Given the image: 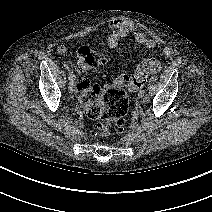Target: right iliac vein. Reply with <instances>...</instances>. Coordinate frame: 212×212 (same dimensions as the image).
Instances as JSON below:
<instances>
[{
  "mask_svg": "<svg viewBox=\"0 0 212 212\" xmlns=\"http://www.w3.org/2000/svg\"><path fill=\"white\" fill-rule=\"evenodd\" d=\"M68 91H69V93H71V94L75 92L74 81H70V82H69Z\"/></svg>",
  "mask_w": 212,
  "mask_h": 212,
  "instance_id": "63e3f726",
  "label": "right iliac vein"
}]
</instances>
